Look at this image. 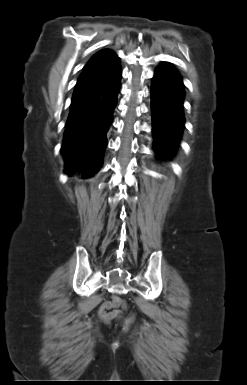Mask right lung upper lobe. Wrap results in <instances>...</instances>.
<instances>
[{"label":"right lung upper lobe","mask_w":247,"mask_h":385,"mask_svg":"<svg viewBox=\"0 0 247 385\" xmlns=\"http://www.w3.org/2000/svg\"><path fill=\"white\" fill-rule=\"evenodd\" d=\"M119 61L117 55L111 50H102L95 54L83 69L79 78L88 76L96 71L109 67Z\"/></svg>","instance_id":"cb5924a9"}]
</instances>
